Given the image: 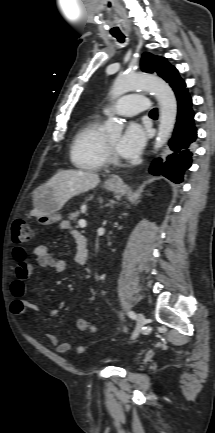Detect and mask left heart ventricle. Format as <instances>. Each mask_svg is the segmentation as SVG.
I'll list each match as a JSON object with an SVG mask.
<instances>
[{
  "mask_svg": "<svg viewBox=\"0 0 215 433\" xmlns=\"http://www.w3.org/2000/svg\"><path fill=\"white\" fill-rule=\"evenodd\" d=\"M119 135H112V136H108L107 137V139H108V141L110 142V144L114 147V148H116V145H117V143H118V141H119Z\"/></svg>",
  "mask_w": 215,
  "mask_h": 433,
  "instance_id": "b2bd125f",
  "label": "left heart ventricle"
}]
</instances>
